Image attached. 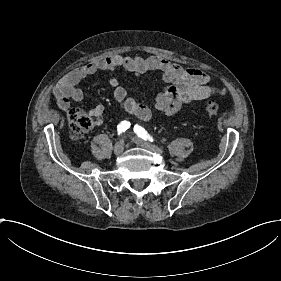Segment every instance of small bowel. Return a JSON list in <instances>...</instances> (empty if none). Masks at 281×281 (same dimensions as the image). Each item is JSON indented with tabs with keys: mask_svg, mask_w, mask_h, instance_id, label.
I'll return each instance as SVG.
<instances>
[{
	"mask_svg": "<svg viewBox=\"0 0 281 281\" xmlns=\"http://www.w3.org/2000/svg\"><path fill=\"white\" fill-rule=\"evenodd\" d=\"M126 70L136 76L147 72H158L160 77L167 83L164 91L154 96V104L165 117H171L179 110L182 103H190L205 100L213 95L225 97L228 95L224 87H209V77L196 67H186L171 63L158 57L142 58L129 56H112L98 58L74 70L59 84L52 88V94L58 107L65 111L71 102H80L83 99V91L77 86L78 83L98 71L114 72ZM109 85L113 89L114 100L121 105L122 109L135 115L142 121H148L151 114L147 106L141 105L126 91L119 86L116 77H110ZM105 108L97 104L91 114L96 118L95 126L102 128V120Z\"/></svg>",
	"mask_w": 281,
	"mask_h": 281,
	"instance_id": "small-bowel-1",
	"label": "small bowel"
}]
</instances>
